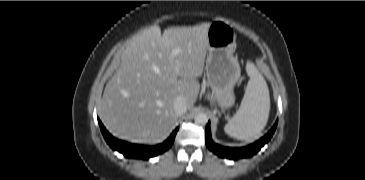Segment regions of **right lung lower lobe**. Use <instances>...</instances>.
I'll use <instances>...</instances> for the list:
<instances>
[{"instance_id": "98d812e1", "label": "right lung lower lobe", "mask_w": 365, "mask_h": 180, "mask_svg": "<svg viewBox=\"0 0 365 180\" xmlns=\"http://www.w3.org/2000/svg\"><path fill=\"white\" fill-rule=\"evenodd\" d=\"M98 123L102 131V134L106 142L109 144V146L113 150L119 151L127 158L149 159L150 157H154L168 150L173 144L175 135L178 131V128H176L170 135V137L162 144L156 146H142L116 139L115 137H113L111 134L108 133V131L105 129V127L103 126V124L99 119Z\"/></svg>"}]
</instances>
